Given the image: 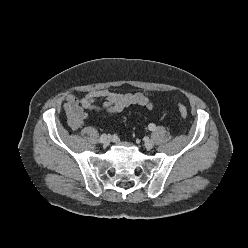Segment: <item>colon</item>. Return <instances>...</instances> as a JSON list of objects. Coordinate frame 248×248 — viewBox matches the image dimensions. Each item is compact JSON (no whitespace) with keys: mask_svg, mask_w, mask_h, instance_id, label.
Returning <instances> with one entry per match:
<instances>
[{"mask_svg":"<svg viewBox=\"0 0 248 248\" xmlns=\"http://www.w3.org/2000/svg\"><path fill=\"white\" fill-rule=\"evenodd\" d=\"M178 110H179V113L180 115L183 117V118H186L188 116V110L186 108L185 105L179 103L178 104Z\"/></svg>","mask_w":248,"mask_h":248,"instance_id":"obj_1","label":"colon"}]
</instances>
